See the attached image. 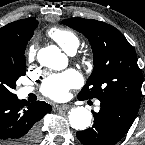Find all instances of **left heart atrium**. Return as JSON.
<instances>
[{
	"label": "left heart atrium",
	"mask_w": 145,
	"mask_h": 145,
	"mask_svg": "<svg viewBox=\"0 0 145 145\" xmlns=\"http://www.w3.org/2000/svg\"><path fill=\"white\" fill-rule=\"evenodd\" d=\"M81 82V75L76 70L70 69L48 78L43 87V92L52 99L63 100L68 97L69 90L79 86Z\"/></svg>",
	"instance_id": "left-heart-atrium-1"
}]
</instances>
